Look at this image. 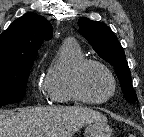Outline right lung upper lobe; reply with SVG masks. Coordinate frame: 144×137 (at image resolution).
Returning <instances> with one entry per match:
<instances>
[{"mask_svg":"<svg viewBox=\"0 0 144 137\" xmlns=\"http://www.w3.org/2000/svg\"><path fill=\"white\" fill-rule=\"evenodd\" d=\"M52 32L43 16L26 13L0 35V64L35 59L43 40H50Z\"/></svg>","mask_w":144,"mask_h":137,"instance_id":"obj_1","label":"right lung upper lobe"}]
</instances>
